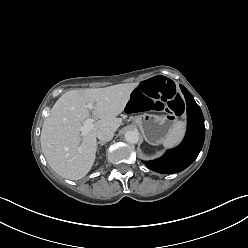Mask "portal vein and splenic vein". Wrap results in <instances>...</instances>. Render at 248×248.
<instances>
[{"mask_svg": "<svg viewBox=\"0 0 248 248\" xmlns=\"http://www.w3.org/2000/svg\"><path fill=\"white\" fill-rule=\"evenodd\" d=\"M87 108L92 110L93 103H88ZM94 122L95 120L92 118H88L84 121L83 125L80 127V132L82 136L86 135L88 132H90L94 128Z\"/></svg>", "mask_w": 248, "mask_h": 248, "instance_id": "obj_1", "label": "portal vein and splenic vein"}]
</instances>
